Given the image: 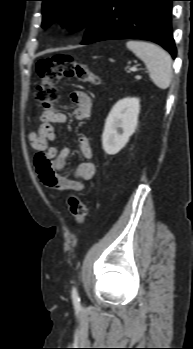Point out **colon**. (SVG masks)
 <instances>
[{
  "instance_id": "1",
  "label": "colon",
  "mask_w": 193,
  "mask_h": 349,
  "mask_svg": "<svg viewBox=\"0 0 193 349\" xmlns=\"http://www.w3.org/2000/svg\"><path fill=\"white\" fill-rule=\"evenodd\" d=\"M36 71L40 77V84L36 88L35 98L43 112L54 111V104L59 98L57 84L62 78H76L96 85L100 83V78L85 64L77 62L66 54L40 60L36 65ZM68 205L75 222L78 225L83 224L87 216V207L83 200L76 195H71Z\"/></svg>"
}]
</instances>
